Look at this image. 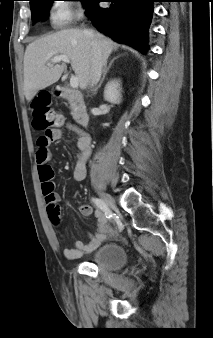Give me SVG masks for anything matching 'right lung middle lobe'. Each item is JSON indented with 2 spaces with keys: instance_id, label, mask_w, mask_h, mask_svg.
<instances>
[{
  "instance_id": "1",
  "label": "right lung middle lobe",
  "mask_w": 213,
  "mask_h": 338,
  "mask_svg": "<svg viewBox=\"0 0 213 338\" xmlns=\"http://www.w3.org/2000/svg\"><path fill=\"white\" fill-rule=\"evenodd\" d=\"M55 0H30L32 19L45 20L51 3ZM81 1L85 8L89 7L94 0H77Z\"/></svg>"
}]
</instances>
